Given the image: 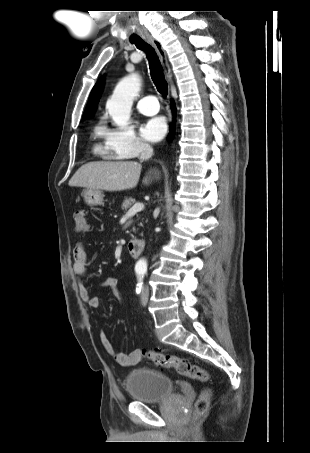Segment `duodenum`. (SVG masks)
<instances>
[{
	"instance_id": "obj_1",
	"label": "duodenum",
	"mask_w": 310,
	"mask_h": 453,
	"mask_svg": "<svg viewBox=\"0 0 310 453\" xmlns=\"http://www.w3.org/2000/svg\"><path fill=\"white\" fill-rule=\"evenodd\" d=\"M127 247L130 255L137 258L141 255L145 248V241L142 239H133L128 242Z\"/></svg>"
}]
</instances>
